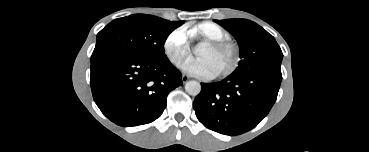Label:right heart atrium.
Segmentation results:
<instances>
[{
  "instance_id": "d8ad5b80",
  "label": "right heart atrium",
  "mask_w": 369,
  "mask_h": 152,
  "mask_svg": "<svg viewBox=\"0 0 369 152\" xmlns=\"http://www.w3.org/2000/svg\"><path fill=\"white\" fill-rule=\"evenodd\" d=\"M163 49L170 63L175 67H181L192 54L189 37L185 29L177 28L171 31L164 41Z\"/></svg>"
}]
</instances>
